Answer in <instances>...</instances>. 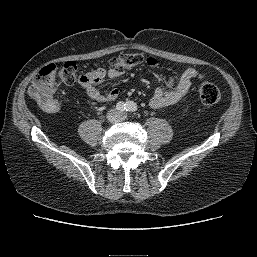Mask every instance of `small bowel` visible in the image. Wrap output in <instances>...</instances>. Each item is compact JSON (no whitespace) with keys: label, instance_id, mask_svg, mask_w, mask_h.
Segmentation results:
<instances>
[{"label":"small bowel","instance_id":"c3829d8e","mask_svg":"<svg viewBox=\"0 0 257 257\" xmlns=\"http://www.w3.org/2000/svg\"><path fill=\"white\" fill-rule=\"evenodd\" d=\"M146 64L150 67H156L157 61L155 58L149 57L146 59ZM106 74L110 78H117L121 75V73L113 68H110L107 72L104 69L99 68L87 75H83L86 78V81L80 84L89 98L101 103H111L118 96L116 89H111L104 94L98 88L102 84ZM198 77L199 73L193 68L185 70L178 83H175L171 76H167L150 98V107L153 109H161L178 102L188 94L192 82Z\"/></svg>","mask_w":257,"mask_h":257}]
</instances>
